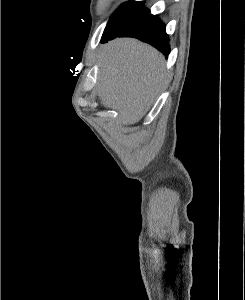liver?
<instances>
[{"label": "liver", "mask_w": 245, "mask_h": 300, "mask_svg": "<svg viewBox=\"0 0 245 300\" xmlns=\"http://www.w3.org/2000/svg\"><path fill=\"white\" fill-rule=\"evenodd\" d=\"M166 75L165 59L156 49L132 38L115 39L100 58L101 104L117 110L124 125L135 124L150 109Z\"/></svg>", "instance_id": "6515ba94"}]
</instances>
